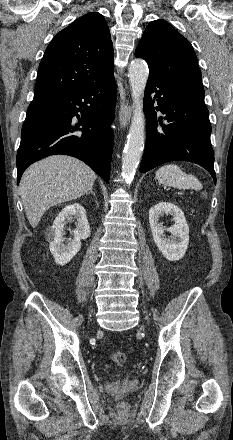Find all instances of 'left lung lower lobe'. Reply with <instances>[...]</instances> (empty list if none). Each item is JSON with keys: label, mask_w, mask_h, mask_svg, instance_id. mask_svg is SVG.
<instances>
[{"label": "left lung lower lobe", "mask_w": 233, "mask_h": 440, "mask_svg": "<svg viewBox=\"0 0 233 440\" xmlns=\"http://www.w3.org/2000/svg\"><path fill=\"white\" fill-rule=\"evenodd\" d=\"M155 109L166 115L168 125H162L161 117L162 126L158 127ZM144 112L147 137L140 172L145 173L169 161H190L204 167L216 183L211 125L204 92L167 85L149 77Z\"/></svg>", "instance_id": "1"}]
</instances>
